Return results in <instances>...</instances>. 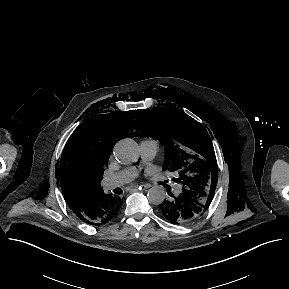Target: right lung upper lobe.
Returning <instances> with one entry per match:
<instances>
[{
  "label": "right lung upper lobe",
  "instance_id": "right-lung-upper-lobe-1",
  "mask_svg": "<svg viewBox=\"0 0 289 289\" xmlns=\"http://www.w3.org/2000/svg\"><path fill=\"white\" fill-rule=\"evenodd\" d=\"M131 112H113L84 121L69 138L57 179L69 207L74 213L84 210L103 192L100 182L108 166L110 153L120 136L135 127Z\"/></svg>",
  "mask_w": 289,
  "mask_h": 289
}]
</instances>
